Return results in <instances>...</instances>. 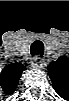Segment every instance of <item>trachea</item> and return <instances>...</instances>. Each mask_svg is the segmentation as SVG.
<instances>
[{
    "mask_svg": "<svg viewBox=\"0 0 69 101\" xmlns=\"http://www.w3.org/2000/svg\"><path fill=\"white\" fill-rule=\"evenodd\" d=\"M31 54L33 56H38L40 58L43 57L44 54V44L40 40H36L32 43L31 48H30Z\"/></svg>",
    "mask_w": 69,
    "mask_h": 101,
    "instance_id": "obj_1",
    "label": "trachea"
}]
</instances>
